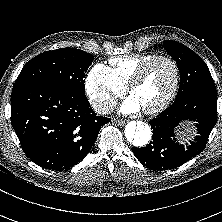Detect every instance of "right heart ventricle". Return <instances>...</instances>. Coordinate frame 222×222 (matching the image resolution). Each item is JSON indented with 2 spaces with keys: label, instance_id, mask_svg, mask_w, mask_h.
<instances>
[{
  "label": "right heart ventricle",
  "instance_id": "obj_1",
  "mask_svg": "<svg viewBox=\"0 0 222 222\" xmlns=\"http://www.w3.org/2000/svg\"><path fill=\"white\" fill-rule=\"evenodd\" d=\"M154 56V53H136L124 57L112 58L109 61L111 65L110 70L115 79L126 87L136 70Z\"/></svg>",
  "mask_w": 222,
  "mask_h": 222
}]
</instances>
